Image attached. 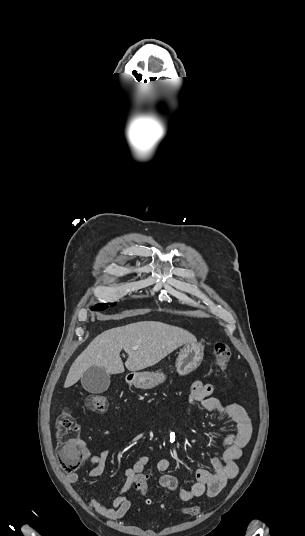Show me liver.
Segmentation results:
<instances>
[{
	"instance_id": "liver-1",
	"label": "liver",
	"mask_w": 305,
	"mask_h": 536,
	"mask_svg": "<svg viewBox=\"0 0 305 536\" xmlns=\"http://www.w3.org/2000/svg\"><path fill=\"white\" fill-rule=\"evenodd\" d=\"M194 342L197 340L190 332L162 322H136L106 330L94 338L73 362L64 388L74 386L91 366L105 368L107 374H123L125 370L120 358L121 350L128 354L125 362L127 370L138 372L155 366L183 344ZM135 346H139L138 350H132Z\"/></svg>"
}]
</instances>
